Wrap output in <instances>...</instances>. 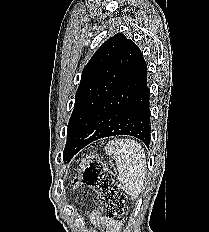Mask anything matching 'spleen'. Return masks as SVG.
<instances>
[{"instance_id":"3e777b00","label":"spleen","mask_w":209,"mask_h":232,"mask_svg":"<svg viewBox=\"0 0 209 232\" xmlns=\"http://www.w3.org/2000/svg\"><path fill=\"white\" fill-rule=\"evenodd\" d=\"M107 155H113L118 179L131 198H138L146 176V156L142 146L133 139H116L105 147Z\"/></svg>"}]
</instances>
